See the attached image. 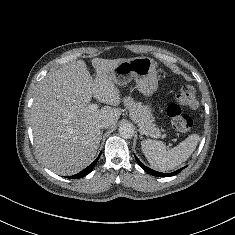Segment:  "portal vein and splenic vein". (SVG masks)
<instances>
[{
	"label": "portal vein and splenic vein",
	"mask_w": 235,
	"mask_h": 235,
	"mask_svg": "<svg viewBox=\"0 0 235 235\" xmlns=\"http://www.w3.org/2000/svg\"><path fill=\"white\" fill-rule=\"evenodd\" d=\"M97 108H98L97 104H91L89 106V109L92 110V111L96 110ZM146 134H148V135H150L151 137H154V138H160L161 137L160 133H157V134L146 133Z\"/></svg>",
	"instance_id": "portal-vein-and-splenic-vein-1"
}]
</instances>
